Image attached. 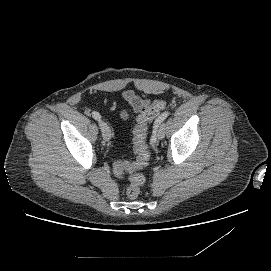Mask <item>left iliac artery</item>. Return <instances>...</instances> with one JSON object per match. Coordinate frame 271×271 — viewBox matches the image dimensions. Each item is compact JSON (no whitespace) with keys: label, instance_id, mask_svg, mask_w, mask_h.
Returning <instances> with one entry per match:
<instances>
[{"label":"left iliac artery","instance_id":"left-iliac-artery-1","mask_svg":"<svg viewBox=\"0 0 271 271\" xmlns=\"http://www.w3.org/2000/svg\"><path fill=\"white\" fill-rule=\"evenodd\" d=\"M169 115V112L166 111L164 113H162L154 122V125H153V131H152V136H151V139H150V142L151 144H155L156 141H157V137H158V134H157V131H158V128L160 127L161 123L168 117Z\"/></svg>","mask_w":271,"mask_h":271}]
</instances>
